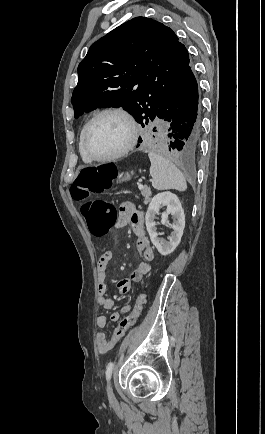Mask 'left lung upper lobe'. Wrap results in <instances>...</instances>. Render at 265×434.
Listing matches in <instances>:
<instances>
[{
	"label": "left lung upper lobe",
	"instance_id": "5c2ea615",
	"mask_svg": "<svg viewBox=\"0 0 265 434\" xmlns=\"http://www.w3.org/2000/svg\"><path fill=\"white\" fill-rule=\"evenodd\" d=\"M189 63L171 28L133 18L95 42L79 64L71 98L75 118L100 107H123L144 126Z\"/></svg>",
	"mask_w": 265,
	"mask_h": 434
}]
</instances>
